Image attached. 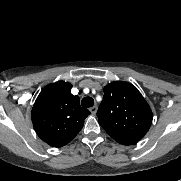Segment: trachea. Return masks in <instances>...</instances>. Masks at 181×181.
Returning <instances> with one entry per match:
<instances>
[{"label": "trachea", "mask_w": 181, "mask_h": 181, "mask_svg": "<svg viewBox=\"0 0 181 181\" xmlns=\"http://www.w3.org/2000/svg\"><path fill=\"white\" fill-rule=\"evenodd\" d=\"M83 107H92L94 105V100L92 97H84L81 101Z\"/></svg>", "instance_id": "trachea-1"}]
</instances>
